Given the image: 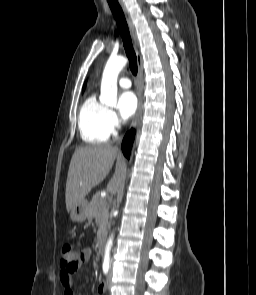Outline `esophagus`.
Here are the masks:
<instances>
[{"label": "esophagus", "mask_w": 256, "mask_h": 295, "mask_svg": "<svg viewBox=\"0 0 256 295\" xmlns=\"http://www.w3.org/2000/svg\"><path fill=\"white\" fill-rule=\"evenodd\" d=\"M121 7L123 9V12L125 14L126 20L128 22L129 28H130V32L132 35V39L134 42V46H135V52H136V58H137V64H138V85H137V95H138V108L136 111V114L134 116V119L132 121L131 127H135L137 124V121L140 117L141 111H142V77H143V60H142V56L138 50V41H137V36H136V32H135V27L133 24V21L131 19L130 13L128 12V10L126 9L125 5L120 2Z\"/></svg>", "instance_id": "obj_1"}]
</instances>
